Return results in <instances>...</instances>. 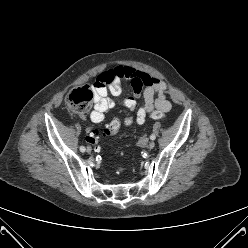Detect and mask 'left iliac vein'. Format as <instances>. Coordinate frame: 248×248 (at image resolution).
I'll use <instances>...</instances> for the list:
<instances>
[{
  "label": "left iliac vein",
  "mask_w": 248,
  "mask_h": 248,
  "mask_svg": "<svg viewBox=\"0 0 248 248\" xmlns=\"http://www.w3.org/2000/svg\"><path fill=\"white\" fill-rule=\"evenodd\" d=\"M154 146H155V143H154L153 141H151V142L149 143V145H148V148L151 150V149L154 148Z\"/></svg>",
  "instance_id": "obj_1"
}]
</instances>
